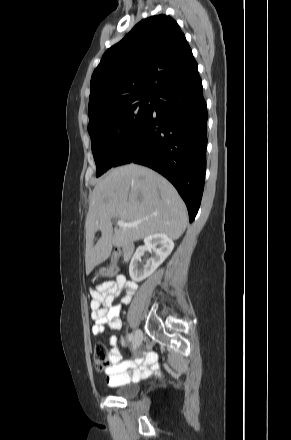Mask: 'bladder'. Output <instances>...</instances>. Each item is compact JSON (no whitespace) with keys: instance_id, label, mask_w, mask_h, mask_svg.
Returning <instances> with one entry per match:
<instances>
[{"instance_id":"obj_1","label":"bladder","mask_w":291,"mask_h":440,"mask_svg":"<svg viewBox=\"0 0 291 440\" xmlns=\"http://www.w3.org/2000/svg\"><path fill=\"white\" fill-rule=\"evenodd\" d=\"M115 393L120 398L129 399L137 395L138 389L134 383H125L116 388Z\"/></svg>"}]
</instances>
